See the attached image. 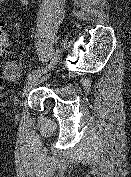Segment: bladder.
<instances>
[{
    "instance_id": "bladder-1",
    "label": "bladder",
    "mask_w": 131,
    "mask_h": 177,
    "mask_svg": "<svg viewBox=\"0 0 131 177\" xmlns=\"http://www.w3.org/2000/svg\"><path fill=\"white\" fill-rule=\"evenodd\" d=\"M4 70L8 78L13 79L17 76L18 68H17V65H15L14 63H8L5 66Z\"/></svg>"
}]
</instances>
